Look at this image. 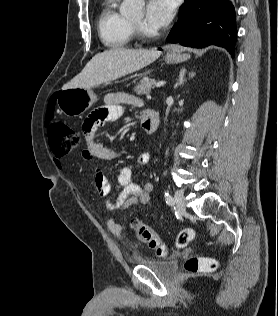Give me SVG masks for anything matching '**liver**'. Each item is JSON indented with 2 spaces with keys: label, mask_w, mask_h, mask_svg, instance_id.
Instances as JSON below:
<instances>
[{
  "label": "liver",
  "mask_w": 278,
  "mask_h": 316,
  "mask_svg": "<svg viewBox=\"0 0 278 316\" xmlns=\"http://www.w3.org/2000/svg\"><path fill=\"white\" fill-rule=\"evenodd\" d=\"M161 55L157 49L129 50L110 49L96 54L70 82L62 89L89 88L114 81L138 71L154 62Z\"/></svg>",
  "instance_id": "6515ba94"
}]
</instances>
